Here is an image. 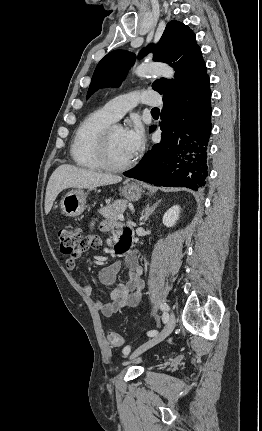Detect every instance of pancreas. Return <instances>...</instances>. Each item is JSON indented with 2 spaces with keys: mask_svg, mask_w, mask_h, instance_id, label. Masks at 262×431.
<instances>
[{
  "mask_svg": "<svg viewBox=\"0 0 262 431\" xmlns=\"http://www.w3.org/2000/svg\"><path fill=\"white\" fill-rule=\"evenodd\" d=\"M127 208V201L117 200L112 204L101 208L99 213L106 219L118 220V216L121 215Z\"/></svg>",
  "mask_w": 262,
  "mask_h": 431,
  "instance_id": "1",
  "label": "pancreas"
}]
</instances>
